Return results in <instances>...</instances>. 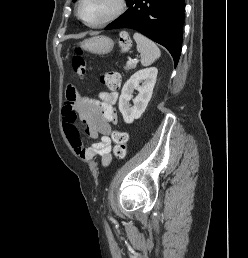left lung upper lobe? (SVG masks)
Listing matches in <instances>:
<instances>
[{"label":"left lung upper lobe","mask_w":248,"mask_h":258,"mask_svg":"<svg viewBox=\"0 0 248 258\" xmlns=\"http://www.w3.org/2000/svg\"><path fill=\"white\" fill-rule=\"evenodd\" d=\"M76 0H73V2H75ZM129 2V0H126V3H128Z\"/></svg>","instance_id":"5c2ea615"}]
</instances>
